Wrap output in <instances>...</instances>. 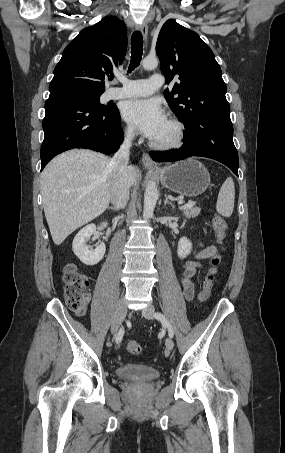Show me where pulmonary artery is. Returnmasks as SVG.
Here are the masks:
<instances>
[{"mask_svg":"<svg viewBox=\"0 0 285 453\" xmlns=\"http://www.w3.org/2000/svg\"><path fill=\"white\" fill-rule=\"evenodd\" d=\"M121 87L111 88L107 92L109 99L134 98L147 96L160 88L164 83L162 74L155 73L149 79L131 80L120 78Z\"/></svg>","mask_w":285,"mask_h":453,"instance_id":"pulmonary-artery-1","label":"pulmonary artery"}]
</instances>
